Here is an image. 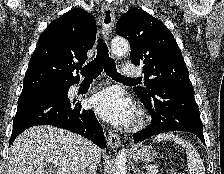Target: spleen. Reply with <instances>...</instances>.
Returning a JSON list of instances; mask_svg holds the SVG:
<instances>
[{
    "instance_id": "1",
    "label": "spleen",
    "mask_w": 224,
    "mask_h": 174,
    "mask_svg": "<svg viewBox=\"0 0 224 174\" xmlns=\"http://www.w3.org/2000/svg\"><path fill=\"white\" fill-rule=\"evenodd\" d=\"M163 140H174L177 144L181 145L186 150L187 167L190 174H205L203 161L191 143L185 141L183 138L178 137L173 133L159 134L153 139V142L157 143Z\"/></svg>"
}]
</instances>
